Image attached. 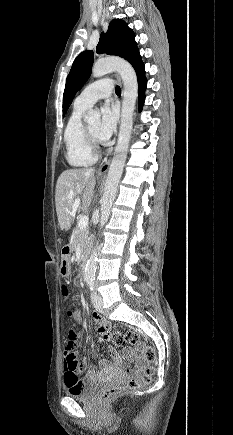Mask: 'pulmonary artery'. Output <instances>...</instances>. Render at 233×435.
I'll use <instances>...</instances> for the list:
<instances>
[{"instance_id": "e3ab8cb5", "label": "pulmonary artery", "mask_w": 233, "mask_h": 435, "mask_svg": "<svg viewBox=\"0 0 233 435\" xmlns=\"http://www.w3.org/2000/svg\"><path fill=\"white\" fill-rule=\"evenodd\" d=\"M113 82L109 78L97 80L88 85L75 99V105L88 108L99 99L107 98L113 91Z\"/></svg>"}]
</instances>
